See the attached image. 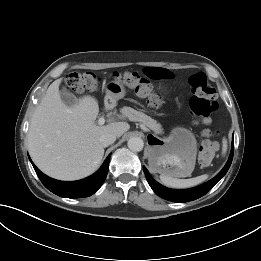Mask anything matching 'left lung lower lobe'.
I'll return each mask as SVG.
<instances>
[{
  "instance_id": "left-lung-lower-lobe-1",
  "label": "left lung lower lobe",
  "mask_w": 261,
  "mask_h": 261,
  "mask_svg": "<svg viewBox=\"0 0 261 261\" xmlns=\"http://www.w3.org/2000/svg\"><path fill=\"white\" fill-rule=\"evenodd\" d=\"M233 154H234V139L232 142V149H231L229 159L226 165L224 166V168L210 181L200 186H197L195 188L187 189V190H173V189L166 188L160 185L158 182H156L150 176V174L148 173L147 169L144 166H143V170L149 185L157 195L172 202L183 203V202L193 201L205 195L226 174V172L228 171L232 163Z\"/></svg>"
}]
</instances>
